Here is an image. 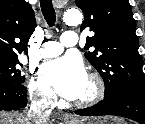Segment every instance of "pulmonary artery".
Wrapping results in <instances>:
<instances>
[{
    "mask_svg": "<svg viewBox=\"0 0 145 124\" xmlns=\"http://www.w3.org/2000/svg\"><path fill=\"white\" fill-rule=\"evenodd\" d=\"M77 44V35L74 31H65L60 41L44 42L41 49L42 57H55L60 55L65 48L73 47Z\"/></svg>",
    "mask_w": 145,
    "mask_h": 124,
    "instance_id": "1",
    "label": "pulmonary artery"
}]
</instances>
